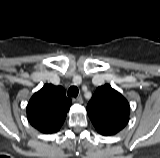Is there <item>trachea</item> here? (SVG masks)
<instances>
[{
    "mask_svg": "<svg viewBox=\"0 0 160 158\" xmlns=\"http://www.w3.org/2000/svg\"><path fill=\"white\" fill-rule=\"evenodd\" d=\"M79 93V90L76 86H71L69 89H68V96H71V97H77Z\"/></svg>",
    "mask_w": 160,
    "mask_h": 158,
    "instance_id": "1",
    "label": "trachea"
}]
</instances>
